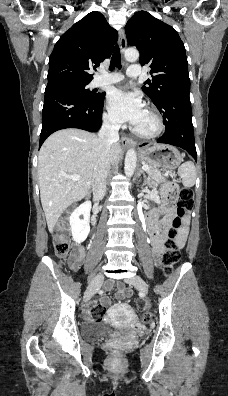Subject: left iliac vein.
Masks as SVG:
<instances>
[{"instance_id":"obj_1","label":"left iliac vein","mask_w":228,"mask_h":396,"mask_svg":"<svg viewBox=\"0 0 228 396\" xmlns=\"http://www.w3.org/2000/svg\"><path fill=\"white\" fill-rule=\"evenodd\" d=\"M125 281L139 288L144 294H148V285L140 276L133 275Z\"/></svg>"}]
</instances>
